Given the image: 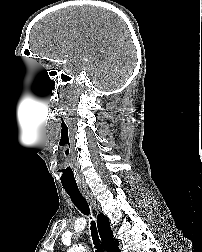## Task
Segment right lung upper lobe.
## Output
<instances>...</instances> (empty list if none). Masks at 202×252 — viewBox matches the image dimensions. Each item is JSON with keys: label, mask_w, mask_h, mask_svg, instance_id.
<instances>
[{"label": "right lung upper lobe", "mask_w": 202, "mask_h": 252, "mask_svg": "<svg viewBox=\"0 0 202 252\" xmlns=\"http://www.w3.org/2000/svg\"><path fill=\"white\" fill-rule=\"evenodd\" d=\"M97 221L99 234L105 250L107 252H120L118 249L119 241L113 237L108 217L101 213L98 215Z\"/></svg>", "instance_id": "cb5924a9"}]
</instances>
